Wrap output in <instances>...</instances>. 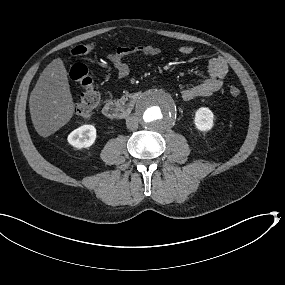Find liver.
I'll return each mask as SVG.
<instances>
[{
  "mask_svg": "<svg viewBox=\"0 0 285 285\" xmlns=\"http://www.w3.org/2000/svg\"><path fill=\"white\" fill-rule=\"evenodd\" d=\"M32 123L37 133L48 137L70 121L74 103L67 71L60 58L41 73L29 99Z\"/></svg>",
  "mask_w": 285,
  "mask_h": 285,
  "instance_id": "1",
  "label": "liver"
}]
</instances>
